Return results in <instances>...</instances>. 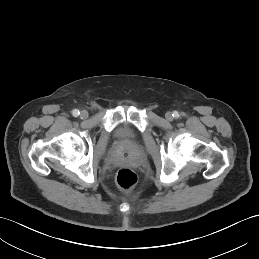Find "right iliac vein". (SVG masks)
<instances>
[{"mask_svg": "<svg viewBox=\"0 0 259 259\" xmlns=\"http://www.w3.org/2000/svg\"><path fill=\"white\" fill-rule=\"evenodd\" d=\"M80 117H81L82 119H86V118L88 117V112H87L86 110H82V111L80 112Z\"/></svg>", "mask_w": 259, "mask_h": 259, "instance_id": "1", "label": "right iliac vein"}]
</instances>
